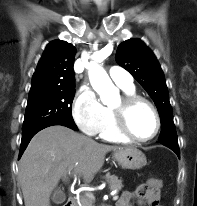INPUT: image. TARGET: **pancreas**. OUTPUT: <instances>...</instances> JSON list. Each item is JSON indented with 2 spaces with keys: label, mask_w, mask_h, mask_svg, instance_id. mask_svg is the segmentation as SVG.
Instances as JSON below:
<instances>
[{
  "label": "pancreas",
  "mask_w": 197,
  "mask_h": 206,
  "mask_svg": "<svg viewBox=\"0 0 197 206\" xmlns=\"http://www.w3.org/2000/svg\"><path fill=\"white\" fill-rule=\"evenodd\" d=\"M106 180L109 184L110 190H121L123 187L122 180L118 179L115 175L107 176ZM80 206H94L93 194L86 193L85 195H82L80 197Z\"/></svg>",
  "instance_id": "pancreas-1"
}]
</instances>
